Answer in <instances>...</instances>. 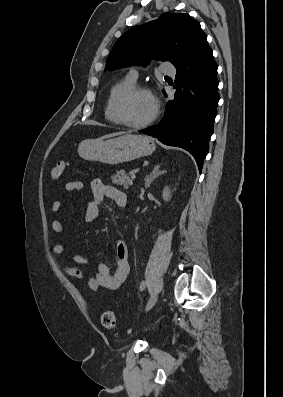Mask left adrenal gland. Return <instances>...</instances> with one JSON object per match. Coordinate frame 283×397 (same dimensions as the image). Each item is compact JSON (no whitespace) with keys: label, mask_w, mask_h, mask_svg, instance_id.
<instances>
[{"label":"left adrenal gland","mask_w":283,"mask_h":397,"mask_svg":"<svg viewBox=\"0 0 283 397\" xmlns=\"http://www.w3.org/2000/svg\"><path fill=\"white\" fill-rule=\"evenodd\" d=\"M159 169H160V165H156V166H154L152 172L149 175H146L145 184H144L145 188H148L150 186V184L153 182V180H155L157 177L166 173L165 170L160 171Z\"/></svg>","instance_id":"left-adrenal-gland-1"}]
</instances>
